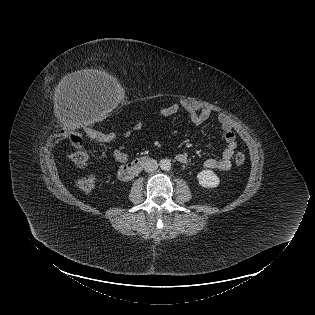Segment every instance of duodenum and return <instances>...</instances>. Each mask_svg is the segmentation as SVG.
<instances>
[{"instance_id": "410a0bca", "label": "duodenum", "mask_w": 315, "mask_h": 315, "mask_svg": "<svg viewBox=\"0 0 315 315\" xmlns=\"http://www.w3.org/2000/svg\"><path fill=\"white\" fill-rule=\"evenodd\" d=\"M146 161H147L146 157H140L125 164L119 170L118 173L119 178L122 181L131 180L135 175H137L141 171Z\"/></svg>"}]
</instances>
